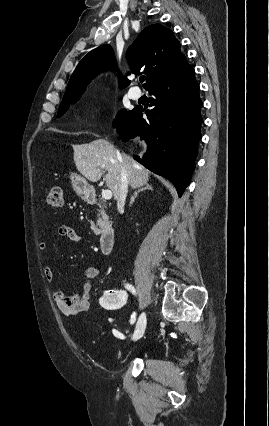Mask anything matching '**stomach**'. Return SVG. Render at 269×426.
<instances>
[{"label":"stomach","instance_id":"stomach-1","mask_svg":"<svg viewBox=\"0 0 269 426\" xmlns=\"http://www.w3.org/2000/svg\"><path fill=\"white\" fill-rule=\"evenodd\" d=\"M71 184L73 187V190L76 192L78 196H80L83 199H87L91 196L93 192V186H91L85 178L82 176L71 173L70 174Z\"/></svg>","mask_w":269,"mask_h":426}]
</instances>
